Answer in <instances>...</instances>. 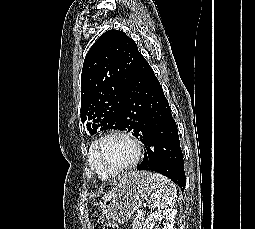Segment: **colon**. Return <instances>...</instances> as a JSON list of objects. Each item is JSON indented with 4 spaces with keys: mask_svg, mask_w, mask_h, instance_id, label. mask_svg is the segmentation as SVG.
Here are the masks:
<instances>
[{
    "mask_svg": "<svg viewBox=\"0 0 255 229\" xmlns=\"http://www.w3.org/2000/svg\"><path fill=\"white\" fill-rule=\"evenodd\" d=\"M103 229H117L114 224L108 223L105 225Z\"/></svg>",
    "mask_w": 255,
    "mask_h": 229,
    "instance_id": "colon-1",
    "label": "colon"
}]
</instances>
